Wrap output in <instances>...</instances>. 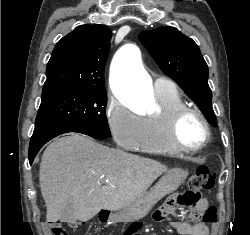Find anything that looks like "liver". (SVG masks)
<instances>
[{"instance_id":"liver-1","label":"liver","mask_w":250,"mask_h":235,"mask_svg":"<svg viewBox=\"0 0 250 235\" xmlns=\"http://www.w3.org/2000/svg\"><path fill=\"white\" fill-rule=\"evenodd\" d=\"M166 171L160 162L109 148L84 135L58 138L47 146L40 163L46 220L62 221L68 205L73 208L70 221L81 222L102 209H124Z\"/></svg>"}]
</instances>
